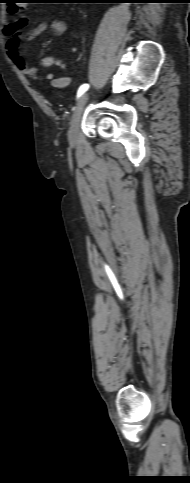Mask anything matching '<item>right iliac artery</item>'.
<instances>
[{
    "label": "right iliac artery",
    "mask_w": 190,
    "mask_h": 483,
    "mask_svg": "<svg viewBox=\"0 0 190 483\" xmlns=\"http://www.w3.org/2000/svg\"><path fill=\"white\" fill-rule=\"evenodd\" d=\"M88 88H89L88 84L81 85L77 93V98H79L84 92H86Z\"/></svg>",
    "instance_id": "1"
}]
</instances>
